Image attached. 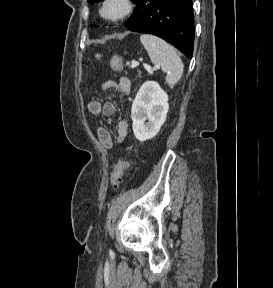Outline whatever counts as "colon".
Here are the masks:
<instances>
[{"label":"colon","mask_w":273,"mask_h":288,"mask_svg":"<svg viewBox=\"0 0 273 288\" xmlns=\"http://www.w3.org/2000/svg\"><path fill=\"white\" fill-rule=\"evenodd\" d=\"M96 57L100 59V55H97ZM111 67L115 72H120L122 70L123 61L119 55H113L111 59ZM128 168L129 162L127 160H119L116 163L110 174V184L113 188L119 187Z\"/></svg>","instance_id":"obj_1"}]
</instances>
